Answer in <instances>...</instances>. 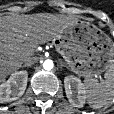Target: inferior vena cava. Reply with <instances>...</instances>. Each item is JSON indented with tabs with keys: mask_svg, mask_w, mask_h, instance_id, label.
Returning a JSON list of instances; mask_svg holds the SVG:
<instances>
[{
	"mask_svg": "<svg viewBox=\"0 0 114 114\" xmlns=\"http://www.w3.org/2000/svg\"><path fill=\"white\" fill-rule=\"evenodd\" d=\"M24 63L26 66H31L35 63V60H34V58H28L24 61Z\"/></svg>",
	"mask_w": 114,
	"mask_h": 114,
	"instance_id": "inferior-vena-cava-1",
	"label": "inferior vena cava"
}]
</instances>
